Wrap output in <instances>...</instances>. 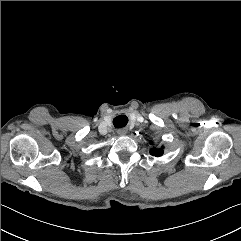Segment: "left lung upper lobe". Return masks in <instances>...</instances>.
I'll return each instance as SVG.
<instances>
[{"label": "left lung upper lobe", "mask_w": 241, "mask_h": 241, "mask_svg": "<svg viewBox=\"0 0 241 241\" xmlns=\"http://www.w3.org/2000/svg\"><path fill=\"white\" fill-rule=\"evenodd\" d=\"M150 153L153 156L159 157L163 154V148H159V149L153 148V149L150 150Z\"/></svg>", "instance_id": "5c2ea615"}]
</instances>
